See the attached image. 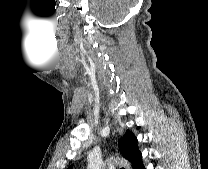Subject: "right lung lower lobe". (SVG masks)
<instances>
[{"label":"right lung lower lobe","mask_w":208,"mask_h":169,"mask_svg":"<svg viewBox=\"0 0 208 169\" xmlns=\"http://www.w3.org/2000/svg\"><path fill=\"white\" fill-rule=\"evenodd\" d=\"M134 169H145L142 160L134 167Z\"/></svg>","instance_id":"obj_1"}]
</instances>
